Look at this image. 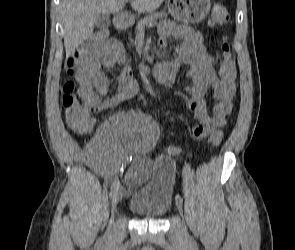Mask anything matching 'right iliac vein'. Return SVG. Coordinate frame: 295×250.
I'll return each mask as SVG.
<instances>
[{
	"label": "right iliac vein",
	"mask_w": 295,
	"mask_h": 250,
	"mask_svg": "<svg viewBox=\"0 0 295 250\" xmlns=\"http://www.w3.org/2000/svg\"><path fill=\"white\" fill-rule=\"evenodd\" d=\"M122 198V191H118L116 192L113 197H112V201H111V216H110V220H109V230L114 222V216H115V211H116V207L117 204L120 202Z\"/></svg>",
	"instance_id": "obj_1"
}]
</instances>
